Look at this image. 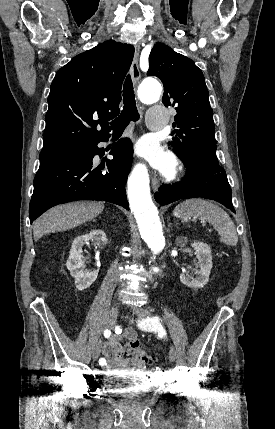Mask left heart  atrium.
<instances>
[{"mask_svg": "<svg viewBox=\"0 0 275 429\" xmlns=\"http://www.w3.org/2000/svg\"><path fill=\"white\" fill-rule=\"evenodd\" d=\"M137 153L165 173H171L174 168L172 156L154 142H140Z\"/></svg>", "mask_w": 275, "mask_h": 429, "instance_id": "1", "label": "left heart atrium"}]
</instances>
